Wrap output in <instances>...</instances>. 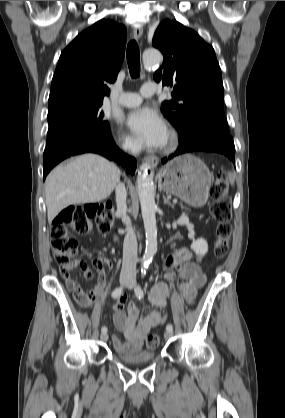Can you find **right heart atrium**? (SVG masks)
<instances>
[{
	"mask_svg": "<svg viewBox=\"0 0 285 418\" xmlns=\"http://www.w3.org/2000/svg\"><path fill=\"white\" fill-rule=\"evenodd\" d=\"M116 143L118 147L125 153L132 154L136 150L134 143L122 132L117 134Z\"/></svg>",
	"mask_w": 285,
	"mask_h": 418,
	"instance_id": "1",
	"label": "right heart atrium"
}]
</instances>
